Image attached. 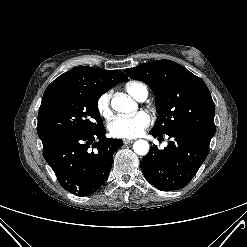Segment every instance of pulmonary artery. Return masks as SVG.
<instances>
[{"instance_id":"obj_1","label":"pulmonary artery","mask_w":247,"mask_h":247,"mask_svg":"<svg viewBox=\"0 0 247 247\" xmlns=\"http://www.w3.org/2000/svg\"><path fill=\"white\" fill-rule=\"evenodd\" d=\"M148 96V91L147 89L145 88L144 90H142V92L139 94L137 100L138 101H144Z\"/></svg>"}]
</instances>
